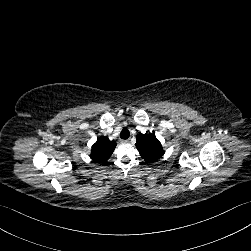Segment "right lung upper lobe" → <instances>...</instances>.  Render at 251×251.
<instances>
[{
    "mask_svg": "<svg viewBox=\"0 0 251 251\" xmlns=\"http://www.w3.org/2000/svg\"><path fill=\"white\" fill-rule=\"evenodd\" d=\"M116 147L115 141H110L108 137L101 136L93 144L90 158L95 163H105L108 161Z\"/></svg>",
    "mask_w": 251,
    "mask_h": 251,
    "instance_id": "right-lung-upper-lobe-1",
    "label": "right lung upper lobe"
}]
</instances>
